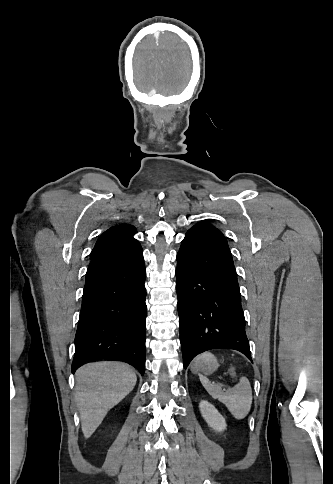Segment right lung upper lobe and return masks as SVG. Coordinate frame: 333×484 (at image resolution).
<instances>
[{
	"label": "right lung upper lobe",
	"mask_w": 333,
	"mask_h": 484,
	"mask_svg": "<svg viewBox=\"0 0 333 484\" xmlns=\"http://www.w3.org/2000/svg\"><path fill=\"white\" fill-rule=\"evenodd\" d=\"M135 233L136 228L129 224L109 228L98 238L90 257L122 253L139 246V242L133 237Z\"/></svg>",
	"instance_id": "cb5924a9"
}]
</instances>
